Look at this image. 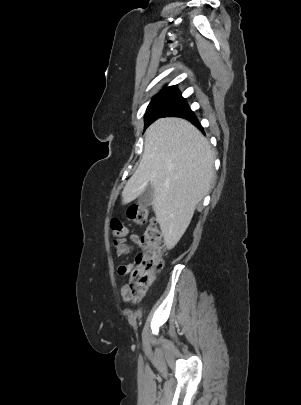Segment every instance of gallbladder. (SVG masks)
<instances>
[{
  "instance_id": "bac80fb5",
  "label": "gallbladder",
  "mask_w": 301,
  "mask_h": 405,
  "mask_svg": "<svg viewBox=\"0 0 301 405\" xmlns=\"http://www.w3.org/2000/svg\"><path fill=\"white\" fill-rule=\"evenodd\" d=\"M154 199V188L152 185H148V187L144 190V192L138 197L137 204L140 207L146 208L149 207Z\"/></svg>"
}]
</instances>
